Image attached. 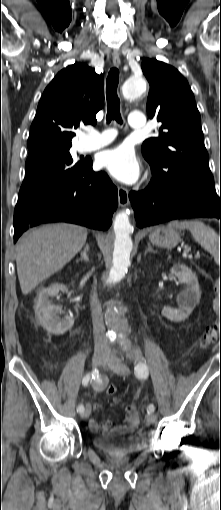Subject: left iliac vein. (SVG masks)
<instances>
[{"label": "left iliac vein", "instance_id": "left-iliac-vein-1", "mask_svg": "<svg viewBox=\"0 0 221 510\" xmlns=\"http://www.w3.org/2000/svg\"><path fill=\"white\" fill-rule=\"evenodd\" d=\"M104 364H107L118 375L124 376L128 375L130 372L128 366L123 364V362L117 358L115 354L112 353L108 354V358ZM145 419L148 424H154L157 420V417L154 413H148L146 414Z\"/></svg>", "mask_w": 221, "mask_h": 510}]
</instances>
